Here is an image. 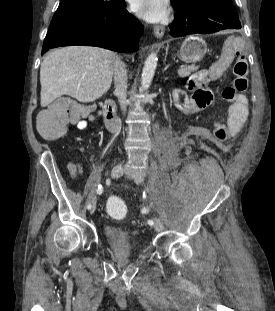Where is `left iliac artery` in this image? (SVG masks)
<instances>
[{
  "label": "left iliac artery",
  "mask_w": 275,
  "mask_h": 311,
  "mask_svg": "<svg viewBox=\"0 0 275 311\" xmlns=\"http://www.w3.org/2000/svg\"><path fill=\"white\" fill-rule=\"evenodd\" d=\"M148 224H149V225H152V224H153V221H152V220H149V221H148Z\"/></svg>",
  "instance_id": "obj_1"
}]
</instances>
